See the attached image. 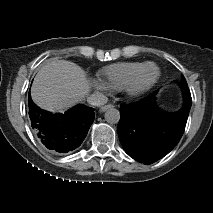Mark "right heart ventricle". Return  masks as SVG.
<instances>
[{
  "instance_id": "right-heart-ventricle-1",
  "label": "right heart ventricle",
  "mask_w": 213,
  "mask_h": 213,
  "mask_svg": "<svg viewBox=\"0 0 213 213\" xmlns=\"http://www.w3.org/2000/svg\"><path fill=\"white\" fill-rule=\"evenodd\" d=\"M144 64V62H120L105 67L100 74L110 88L121 90L124 84Z\"/></svg>"
}]
</instances>
